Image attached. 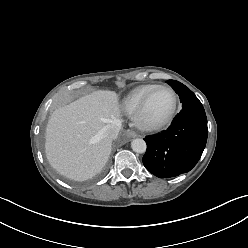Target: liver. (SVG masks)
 I'll return each instance as SVG.
<instances>
[{"label":"liver","instance_id":"1","mask_svg":"<svg viewBox=\"0 0 248 248\" xmlns=\"http://www.w3.org/2000/svg\"><path fill=\"white\" fill-rule=\"evenodd\" d=\"M118 95L96 91L51 115L45 135L50 165L61 175L84 181L98 174L111 153L103 128L121 116Z\"/></svg>","mask_w":248,"mask_h":248}]
</instances>
